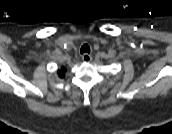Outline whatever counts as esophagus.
<instances>
[{"instance_id":"esophagus-1","label":"esophagus","mask_w":172,"mask_h":134,"mask_svg":"<svg viewBox=\"0 0 172 134\" xmlns=\"http://www.w3.org/2000/svg\"><path fill=\"white\" fill-rule=\"evenodd\" d=\"M82 60L84 62H91L92 61V56L90 54H88V53H84L82 55Z\"/></svg>"}]
</instances>
